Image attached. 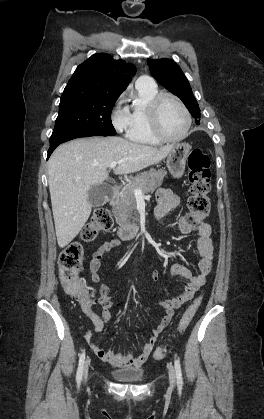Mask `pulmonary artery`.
Wrapping results in <instances>:
<instances>
[{
  "instance_id": "e3ab8cb5",
  "label": "pulmonary artery",
  "mask_w": 264,
  "mask_h": 419,
  "mask_svg": "<svg viewBox=\"0 0 264 419\" xmlns=\"http://www.w3.org/2000/svg\"><path fill=\"white\" fill-rule=\"evenodd\" d=\"M137 84H144V85H149V84H153L154 81L151 77L149 76H141L138 78Z\"/></svg>"
}]
</instances>
